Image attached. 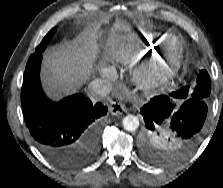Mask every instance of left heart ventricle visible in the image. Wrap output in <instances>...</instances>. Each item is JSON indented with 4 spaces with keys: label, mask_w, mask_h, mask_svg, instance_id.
Here are the masks:
<instances>
[{
    "label": "left heart ventricle",
    "mask_w": 223,
    "mask_h": 188,
    "mask_svg": "<svg viewBox=\"0 0 223 188\" xmlns=\"http://www.w3.org/2000/svg\"><path fill=\"white\" fill-rule=\"evenodd\" d=\"M169 48L170 52L173 53L176 50V43L175 42L171 43Z\"/></svg>",
    "instance_id": "b2bd125f"
}]
</instances>
